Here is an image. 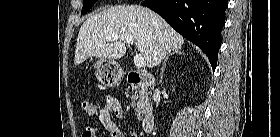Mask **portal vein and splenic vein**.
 Wrapping results in <instances>:
<instances>
[{"mask_svg":"<svg viewBox=\"0 0 280 137\" xmlns=\"http://www.w3.org/2000/svg\"><path fill=\"white\" fill-rule=\"evenodd\" d=\"M115 40H123L131 45L134 43L133 38L131 36H127V35H112V36H108L106 38V41H115ZM134 64L138 68H141L144 66V57L142 54H136L134 56Z\"/></svg>","mask_w":280,"mask_h":137,"instance_id":"18ae733b","label":"portal vein and splenic vein"}]
</instances>
